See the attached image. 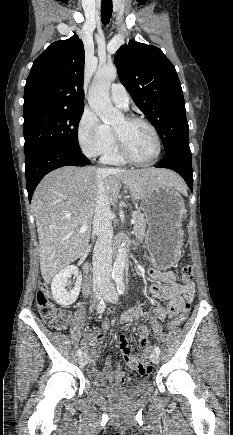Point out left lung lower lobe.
I'll return each mask as SVG.
<instances>
[{
	"label": "left lung lower lobe",
	"instance_id": "left-lung-lower-lobe-1",
	"mask_svg": "<svg viewBox=\"0 0 233 435\" xmlns=\"http://www.w3.org/2000/svg\"><path fill=\"white\" fill-rule=\"evenodd\" d=\"M189 142H182L165 151V155L156 167L168 168L180 174L189 188H193V171Z\"/></svg>",
	"mask_w": 233,
	"mask_h": 435
}]
</instances>
